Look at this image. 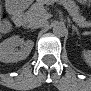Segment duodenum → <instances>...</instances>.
Returning <instances> with one entry per match:
<instances>
[{"instance_id":"duodenum-1","label":"duodenum","mask_w":91,"mask_h":91,"mask_svg":"<svg viewBox=\"0 0 91 91\" xmlns=\"http://www.w3.org/2000/svg\"><path fill=\"white\" fill-rule=\"evenodd\" d=\"M24 16L21 12H17L16 16H15V25L18 28H21L24 25Z\"/></svg>"}]
</instances>
